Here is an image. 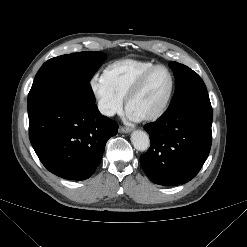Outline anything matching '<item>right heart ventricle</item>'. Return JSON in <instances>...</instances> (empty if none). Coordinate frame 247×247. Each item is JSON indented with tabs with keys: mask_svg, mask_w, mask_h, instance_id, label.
I'll return each mask as SVG.
<instances>
[{
	"mask_svg": "<svg viewBox=\"0 0 247 247\" xmlns=\"http://www.w3.org/2000/svg\"><path fill=\"white\" fill-rule=\"evenodd\" d=\"M152 66L150 61L122 59L109 64L105 73L113 87L125 97L138 78Z\"/></svg>",
	"mask_w": 247,
	"mask_h": 247,
	"instance_id": "1",
	"label": "right heart ventricle"
}]
</instances>
